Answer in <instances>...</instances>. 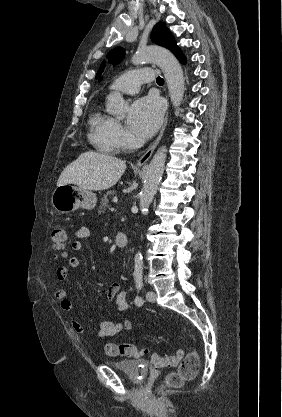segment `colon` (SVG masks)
I'll use <instances>...</instances> for the list:
<instances>
[{"label":"colon","mask_w":282,"mask_h":417,"mask_svg":"<svg viewBox=\"0 0 282 417\" xmlns=\"http://www.w3.org/2000/svg\"><path fill=\"white\" fill-rule=\"evenodd\" d=\"M67 235L63 227H54L50 234V243L53 249L61 255L63 249L66 246ZM183 351L177 348L174 352L166 355H161L151 347L141 346L136 344H125V347H113L105 348L106 356H126L139 358L145 355H149L151 361L159 368H173L177 369V372L170 373L165 378V384H156L155 389L151 391L152 401L154 403H161L163 401L162 393H168L170 388H179L183 382L192 379L199 371L200 357L195 350H190L187 353V358L184 359L183 365L177 368L178 360L182 357Z\"/></svg>","instance_id":"colon-1"}]
</instances>
